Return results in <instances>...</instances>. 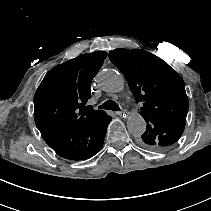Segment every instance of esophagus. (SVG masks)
I'll use <instances>...</instances> for the list:
<instances>
[{"label":"esophagus","instance_id":"34e87169","mask_svg":"<svg viewBox=\"0 0 211 211\" xmlns=\"http://www.w3.org/2000/svg\"><path fill=\"white\" fill-rule=\"evenodd\" d=\"M116 115L117 116H124V115H127V113L125 111H117Z\"/></svg>","mask_w":211,"mask_h":211}]
</instances>
